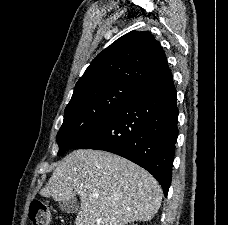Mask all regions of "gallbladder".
<instances>
[{
  "label": "gallbladder",
  "instance_id": "gallbladder-1",
  "mask_svg": "<svg viewBox=\"0 0 228 225\" xmlns=\"http://www.w3.org/2000/svg\"><path fill=\"white\" fill-rule=\"evenodd\" d=\"M58 207L61 209V211H64V213H77L79 209V203L76 197H71V199L59 201Z\"/></svg>",
  "mask_w": 228,
  "mask_h": 225
}]
</instances>
